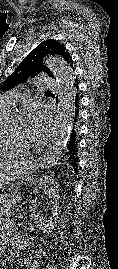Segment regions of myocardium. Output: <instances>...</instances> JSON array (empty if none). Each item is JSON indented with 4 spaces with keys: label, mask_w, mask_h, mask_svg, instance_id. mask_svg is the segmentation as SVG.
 <instances>
[{
    "label": "myocardium",
    "mask_w": 118,
    "mask_h": 269,
    "mask_svg": "<svg viewBox=\"0 0 118 269\" xmlns=\"http://www.w3.org/2000/svg\"><path fill=\"white\" fill-rule=\"evenodd\" d=\"M15 118H16V116L11 117V118H10V119H11V122H13V121L15 120ZM8 130H9V129H8ZM9 131H10V133H11L12 138L15 139V140H17V141L22 145V149H23V146H27V145H28V146H31V144H29V142L26 141L25 138H23V137H21V136L15 134V133L13 132L12 128H11Z\"/></svg>",
    "instance_id": "1"
}]
</instances>
